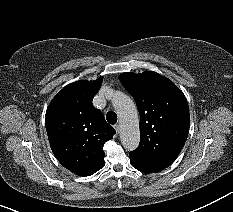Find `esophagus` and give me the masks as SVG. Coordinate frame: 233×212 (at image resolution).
<instances>
[{"label":"esophagus","instance_id":"1","mask_svg":"<svg viewBox=\"0 0 233 212\" xmlns=\"http://www.w3.org/2000/svg\"><path fill=\"white\" fill-rule=\"evenodd\" d=\"M114 129L116 130L117 133L120 132V126L118 124L114 125Z\"/></svg>","mask_w":233,"mask_h":212}]
</instances>
